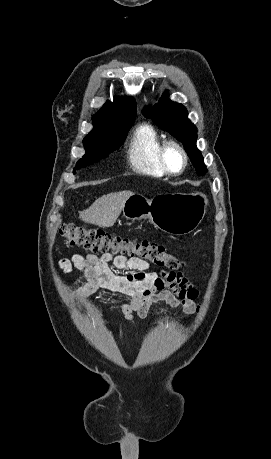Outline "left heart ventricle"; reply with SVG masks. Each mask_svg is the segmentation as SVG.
<instances>
[{
  "instance_id": "b2bd125f",
  "label": "left heart ventricle",
  "mask_w": 271,
  "mask_h": 459,
  "mask_svg": "<svg viewBox=\"0 0 271 459\" xmlns=\"http://www.w3.org/2000/svg\"><path fill=\"white\" fill-rule=\"evenodd\" d=\"M167 159L173 170H180L183 167L184 159L182 154L174 147H170L167 152Z\"/></svg>"
}]
</instances>
